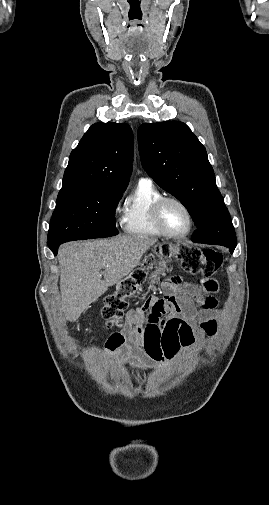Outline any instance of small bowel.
<instances>
[{"mask_svg":"<svg viewBox=\"0 0 269 505\" xmlns=\"http://www.w3.org/2000/svg\"><path fill=\"white\" fill-rule=\"evenodd\" d=\"M187 276L201 279L202 288L181 293L170 289L173 285L168 282V289L144 298L142 307L127 314L129 328L107 340V355L117 353L132 363L163 362L172 360L180 348L201 347L206 336L215 337L219 312L212 295L218 291V283L215 278L205 280L203 274Z\"/></svg>","mask_w":269,"mask_h":505,"instance_id":"obj_1","label":"small bowel"}]
</instances>
